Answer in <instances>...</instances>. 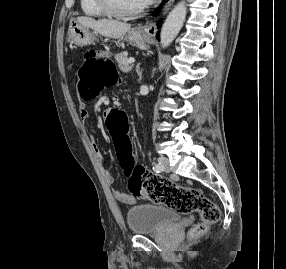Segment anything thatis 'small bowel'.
<instances>
[{
  "instance_id": "1",
  "label": "small bowel",
  "mask_w": 286,
  "mask_h": 269,
  "mask_svg": "<svg viewBox=\"0 0 286 269\" xmlns=\"http://www.w3.org/2000/svg\"><path fill=\"white\" fill-rule=\"evenodd\" d=\"M79 115H80V118L83 120H86L89 117V111L87 109V105L85 102H82V101L79 102ZM106 116H110V108H103V111H101V115H99V120H106ZM90 141H91V147H92L94 156L97 162L100 165H102L103 164L102 152L93 137H91ZM104 176L108 183L110 184L113 183L114 177L109 170H106V169L104 170ZM114 195L117 200L127 205H132L136 202V197L134 195L126 193L122 190H114Z\"/></svg>"
}]
</instances>
